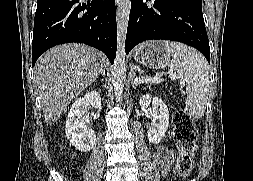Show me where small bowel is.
I'll return each mask as SVG.
<instances>
[{"instance_id": "obj_1", "label": "small bowel", "mask_w": 253, "mask_h": 181, "mask_svg": "<svg viewBox=\"0 0 253 181\" xmlns=\"http://www.w3.org/2000/svg\"><path fill=\"white\" fill-rule=\"evenodd\" d=\"M177 156V150L166 145L159 146L154 153V161L162 175H167Z\"/></svg>"}]
</instances>
